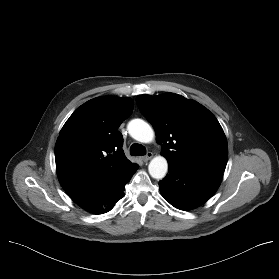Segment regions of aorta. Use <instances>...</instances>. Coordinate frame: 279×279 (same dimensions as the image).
Returning a JSON list of instances; mask_svg holds the SVG:
<instances>
[{"mask_svg": "<svg viewBox=\"0 0 279 279\" xmlns=\"http://www.w3.org/2000/svg\"><path fill=\"white\" fill-rule=\"evenodd\" d=\"M128 132L132 138L142 143H150L154 139L152 127L142 119H133L128 123ZM149 174L154 179H162L168 171V163L165 157H154L148 166Z\"/></svg>", "mask_w": 279, "mask_h": 279, "instance_id": "obj_1", "label": "aorta"}]
</instances>
